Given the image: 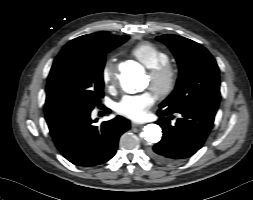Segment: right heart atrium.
I'll return each instance as SVG.
<instances>
[{
    "instance_id": "1",
    "label": "right heart atrium",
    "mask_w": 253,
    "mask_h": 200,
    "mask_svg": "<svg viewBox=\"0 0 253 200\" xmlns=\"http://www.w3.org/2000/svg\"><path fill=\"white\" fill-rule=\"evenodd\" d=\"M101 78L105 86L112 88L117 81V66L112 59L105 61L102 70Z\"/></svg>"
}]
</instances>
